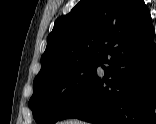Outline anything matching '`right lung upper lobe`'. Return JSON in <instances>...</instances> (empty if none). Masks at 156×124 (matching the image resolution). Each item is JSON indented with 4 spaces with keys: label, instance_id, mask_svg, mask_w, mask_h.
Segmentation results:
<instances>
[{
    "label": "right lung upper lobe",
    "instance_id": "right-lung-upper-lobe-1",
    "mask_svg": "<svg viewBox=\"0 0 156 124\" xmlns=\"http://www.w3.org/2000/svg\"><path fill=\"white\" fill-rule=\"evenodd\" d=\"M151 25L143 0H80L69 14L55 21L35 78L65 66L102 59L126 33Z\"/></svg>",
    "mask_w": 156,
    "mask_h": 124
}]
</instances>
